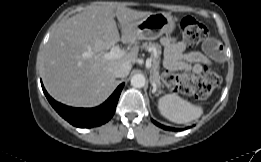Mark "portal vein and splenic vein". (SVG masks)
<instances>
[{"mask_svg":"<svg viewBox=\"0 0 261 162\" xmlns=\"http://www.w3.org/2000/svg\"><path fill=\"white\" fill-rule=\"evenodd\" d=\"M125 52L119 48V46H113L111 50L103 55L105 59H118L121 58ZM146 67H151V59L146 60Z\"/></svg>","mask_w":261,"mask_h":162,"instance_id":"1","label":"portal vein and splenic vein"}]
</instances>
